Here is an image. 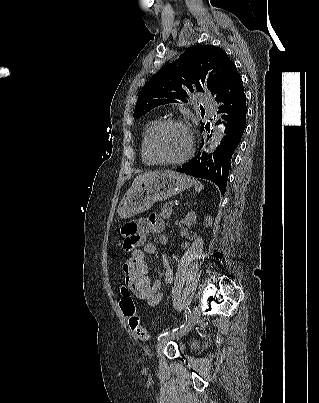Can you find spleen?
<instances>
[{
  "label": "spleen",
  "instance_id": "spleen-1",
  "mask_svg": "<svg viewBox=\"0 0 319 403\" xmlns=\"http://www.w3.org/2000/svg\"><path fill=\"white\" fill-rule=\"evenodd\" d=\"M193 184H194L196 192H198V193L201 192L204 188V186L197 180H194Z\"/></svg>",
  "mask_w": 319,
  "mask_h": 403
}]
</instances>
